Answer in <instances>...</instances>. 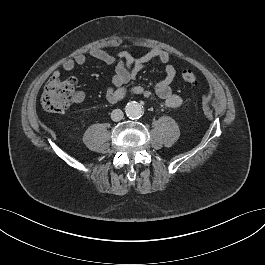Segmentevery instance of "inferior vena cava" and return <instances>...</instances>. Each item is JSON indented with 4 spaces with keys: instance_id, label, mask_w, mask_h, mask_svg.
I'll use <instances>...</instances> for the list:
<instances>
[{
    "instance_id": "1",
    "label": "inferior vena cava",
    "mask_w": 265,
    "mask_h": 265,
    "mask_svg": "<svg viewBox=\"0 0 265 265\" xmlns=\"http://www.w3.org/2000/svg\"><path fill=\"white\" fill-rule=\"evenodd\" d=\"M123 116H124V114H123V111L122 110H120V109H114L112 112H111V119L113 120V121H120V120H122L123 119Z\"/></svg>"
}]
</instances>
